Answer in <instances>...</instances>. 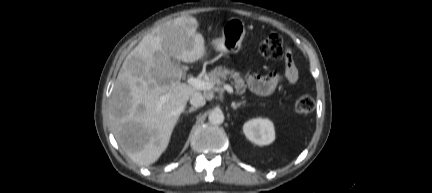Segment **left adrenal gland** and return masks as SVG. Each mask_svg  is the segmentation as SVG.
Masks as SVG:
<instances>
[{
	"label": "left adrenal gland",
	"mask_w": 432,
	"mask_h": 193,
	"mask_svg": "<svg viewBox=\"0 0 432 193\" xmlns=\"http://www.w3.org/2000/svg\"><path fill=\"white\" fill-rule=\"evenodd\" d=\"M246 103V101H241L238 103L232 102L231 107L236 110L237 108H239L241 105H244Z\"/></svg>",
	"instance_id": "a2214340"
}]
</instances>
